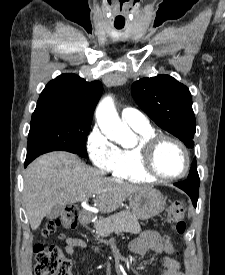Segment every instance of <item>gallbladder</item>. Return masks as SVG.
Instances as JSON below:
<instances>
[{
    "label": "gallbladder",
    "instance_id": "bac80fb5",
    "mask_svg": "<svg viewBox=\"0 0 225 275\" xmlns=\"http://www.w3.org/2000/svg\"><path fill=\"white\" fill-rule=\"evenodd\" d=\"M64 211V206L57 204L55 205L51 211L47 214V218L48 219H54L56 217H58L59 215H61Z\"/></svg>",
    "mask_w": 225,
    "mask_h": 275
}]
</instances>
